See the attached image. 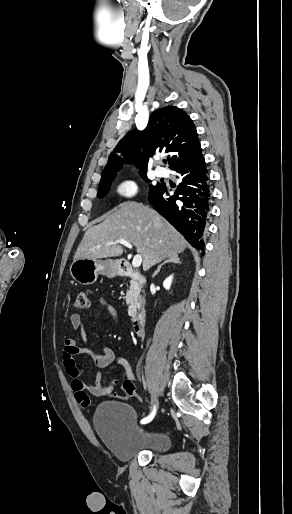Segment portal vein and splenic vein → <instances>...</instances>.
<instances>
[{
    "mask_svg": "<svg viewBox=\"0 0 292 514\" xmlns=\"http://www.w3.org/2000/svg\"><path fill=\"white\" fill-rule=\"evenodd\" d=\"M110 244H123V246H126V248H133V246H131V244H129L127 240H117V242H110ZM141 262L142 256H139V254H137V256H134L132 262L133 268H139V266H141Z\"/></svg>",
    "mask_w": 292,
    "mask_h": 514,
    "instance_id": "obj_1",
    "label": "portal vein and splenic vein"
}]
</instances>
